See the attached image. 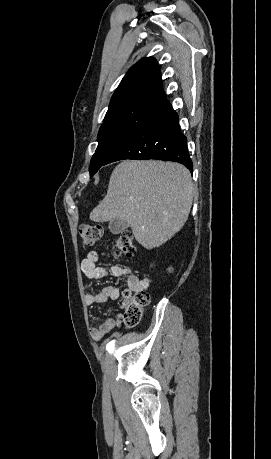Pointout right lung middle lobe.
<instances>
[{
    "label": "right lung middle lobe",
    "instance_id": "right-lung-middle-lobe-1",
    "mask_svg": "<svg viewBox=\"0 0 271 459\" xmlns=\"http://www.w3.org/2000/svg\"><path fill=\"white\" fill-rule=\"evenodd\" d=\"M157 113L131 110L106 115L98 133V147L90 164V176L106 164L109 157L137 130L152 120Z\"/></svg>",
    "mask_w": 271,
    "mask_h": 459
}]
</instances>
